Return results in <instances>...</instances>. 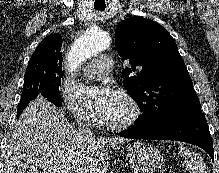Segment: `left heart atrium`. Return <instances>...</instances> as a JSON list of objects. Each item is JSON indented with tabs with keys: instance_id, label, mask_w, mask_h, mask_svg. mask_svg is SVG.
Returning a JSON list of instances; mask_svg holds the SVG:
<instances>
[{
	"instance_id": "obj_1",
	"label": "left heart atrium",
	"mask_w": 219,
	"mask_h": 173,
	"mask_svg": "<svg viewBox=\"0 0 219 173\" xmlns=\"http://www.w3.org/2000/svg\"><path fill=\"white\" fill-rule=\"evenodd\" d=\"M120 94L110 86H102L95 98V109L101 119H106Z\"/></svg>"
}]
</instances>
